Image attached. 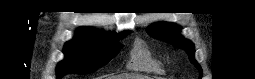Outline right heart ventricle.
I'll list each match as a JSON object with an SVG mask.
<instances>
[{
    "label": "right heart ventricle",
    "instance_id": "obj_1",
    "mask_svg": "<svg viewBox=\"0 0 255 79\" xmlns=\"http://www.w3.org/2000/svg\"><path fill=\"white\" fill-rule=\"evenodd\" d=\"M128 69L152 73H163V63L143 43L136 42L130 52Z\"/></svg>",
    "mask_w": 255,
    "mask_h": 79
}]
</instances>
